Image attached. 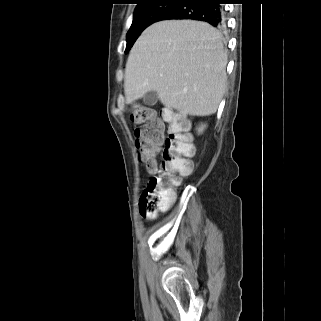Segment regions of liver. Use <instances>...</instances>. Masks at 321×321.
<instances>
[{"label":"liver","instance_id":"liver-1","mask_svg":"<svg viewBox=\"0 0 321 321\" xmlns=\"http://www.w3.org/2000/svg\"><path fill=\"white\" fill-rule=\"evenodd\" d=\"M226 64L221 34L209 24L192 20L154 23L130 51L124 80L126 102L156 91L169 109L212 115L225 92Z\"/></svg>","mask_w":321,"mask_h":321}]
</instances>
